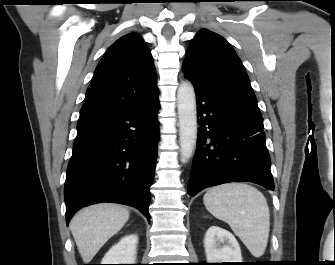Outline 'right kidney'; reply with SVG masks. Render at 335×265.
I'll use <instances>...</instances> for the list:
<instances>
[{"label": "right kidney", "instance_id": "1", "mask_svg": "<svg viewBox=\"0 0 335 265\" xmlns=\"http://www.w3.org/2000/svg\"><path fill=\"white\" fill-rule=\"evenodd\" d=\"M138 236L126 235L105 254L101 264H135Z\"/></svg>", "mask_w": 335, "mask_h": 265}]
</instances>
